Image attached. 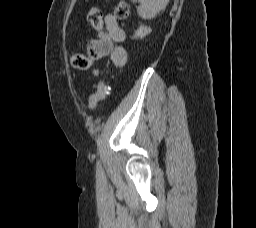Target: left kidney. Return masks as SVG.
<instances>
[{"label": "left kidney", "instance_id": "obj_1", "mask_svg": "<svg viewBox=\"0 0 256 228\" xmlns=\"http://www.w3.org/2000/svg\"><path fill=\"white\" fill-rule=\"evenodd\" d=\"M151 32V29L150 28H147L146 26H140L139 29H137L135 31V35H134V38H143L145 37L146 35H148L149 33Z\"/></svg>", "mask_w": 256, "mask_h": 228}]
</instances>
